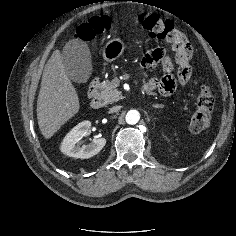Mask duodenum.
<instances>
[{"label": "duodenum", "instance_id": "obj_1", "mask_svg": "<svg viewBox=\"0 0 236 236\" xmlns=\"http://www.w3.org/2000/svg\"><path fill=\"white\" fill-rule=\"evenodd\" d=\"M98 84L99 81L95 79L91 82L89 86L88 96L90 99V106L93 109H98L101 106V98L98 92Z\"/></svg>", "mask_w": 236, "mask_h": 236}]
</instances>
